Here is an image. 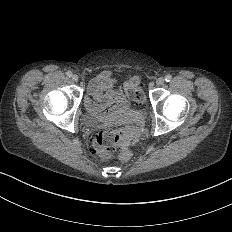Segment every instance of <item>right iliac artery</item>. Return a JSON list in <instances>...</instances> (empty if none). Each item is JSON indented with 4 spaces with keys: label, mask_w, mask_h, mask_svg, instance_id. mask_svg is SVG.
Masks as SVG:
<instances>
[{
    "label": "right iliac artery",
    "mask_w": 232,
    "mask_h": 232,
    "mask_svg": "<svg viewBox=\"0 0 232 232\" xmlns=\"http://www.w3.org/2000/svg\"><path fill=\"white\" fill-rule=\"evenodd\" d=\"M66 75H67L68 77H71V76H72V72H71V71H67V72H66Z\"/></svg>",
    "instance_id": "obj_1"
}]
</instances>
